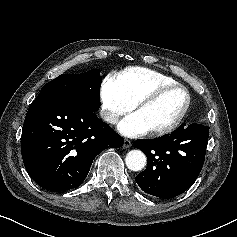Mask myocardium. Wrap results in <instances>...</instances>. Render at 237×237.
Wrapping results in <instances>:
<instances>
[{
	"label": "myocardium",
	"mask_w": 237,
	"mask_h": 237,
	"mask_svg": "<svg viewBox=\"0 0 237 237\" xmlns=\"http://www.w3.org/2000/svg\"><path fill=\"white\" fill-rule=\"evenodd\" d=\"M175 89L184 91V93L186 95V102H185L184 107L182 108V110L179 112V114L175 117V119L170 124H168L167 126H164L162 128L149 130L148 131L149 135L162 136V135L171 133L173 130H175L179 126V124L184 119V117L187 114L189 107L191 105L190 92L188 91V89L185 86H183L179 83L166 84V85H162V86L155 88L153 91H151L149 94L142 97L140 100H138L134 104V110L137 111V110L141 109L142 107H144L145 105H148V104L154 102L160 96H162L164 93L171 91V90H175Z\"/></svg>",
	"instance_id": "1"
}]
</instances>
